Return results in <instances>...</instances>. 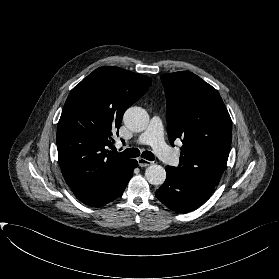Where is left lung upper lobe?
I'll return each instance as SVG.
<instances>
[{
    "label": "left lung upper lobe",
    "instance_id": "left-lung-upper-lobe-1",
    "mask_svg": "<svg viewBox=\"0 0 279 279\" xmlns=\"http://www.w3.org/2000/svg\"><path fill=\"white\" fill-rule=\"evenodd\" d=\"M167 100V133L181 139L179 174L210 189L218 184L229 156L232 121L218 91L189 71L161 76Z\"/></svg>",
    "mask_w": 279,
    "mask_h": 279
}]
</instances>
